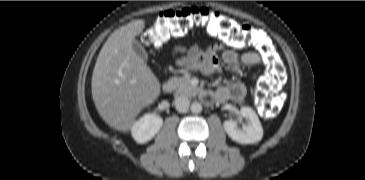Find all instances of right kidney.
<instances>
[{"label": "right kidney", "instance_id": "ca27d5eb", "mask_svg": "<svg viewBox=\"0 0 365 180\" xmlns=\"http://www.w3.org/2000/svg\"><path fill=\"white\" fill-rule=\"evenodd\" d=\"M163 125V120L156 114H146L132 126V136L138 143H146L157 134Z\"/></svg>", "mask_w": 365, "mask_h": 180}]
</instances>
